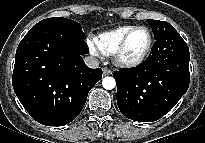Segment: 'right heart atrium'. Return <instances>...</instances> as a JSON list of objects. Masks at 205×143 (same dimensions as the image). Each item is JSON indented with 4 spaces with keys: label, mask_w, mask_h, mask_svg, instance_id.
<instances>
[{
    "label": "right heart atrium",
    "mask_w": 205,
    "mask_h": 143,
    "mask_svg": "<svg viewBox=\"0 0 205 143\" xmlns=\"http://www.w3.org/2000/svg\"><path fill=\"white\" fill-rule=\"evenodd\" d=\"M87 45H88V48L92 54L99 55L100 51H99L94 39H88Z\"/></svg>",
    "instance_id": "right-heart-atrium-1"
}]
</instances>
